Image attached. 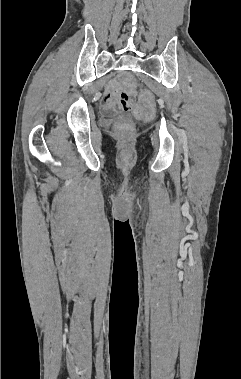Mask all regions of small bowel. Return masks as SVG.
Wrapping results in <instances>:
<instances>
[{
	"label": "small bowel",
	"instance_id": "small-bowel-1",
	"mask_svg": "<svg viewBox=\"0 0 241 379\" xmlns=\"http://www.w3.org/2000/svg\"><path fill=\"white\" fill-rule=\"evenodd\" d=\"M115 89L116 85L111 84L107 87L104 93V98H103V103L106 107H111L113 102H112V97L115 96Z\"/></svg>",
	"mask_w": 241,
	"mask_h": 379
}]
</instances>
